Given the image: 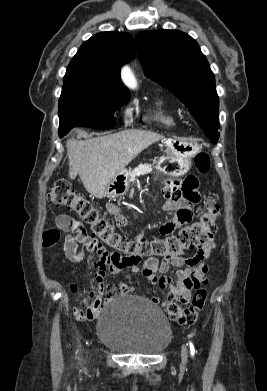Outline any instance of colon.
<instances>
[{
  "instance_id": "5ec220e1",
  "label": "colon",
  "mask_w": 267,
  "mask_h": 391,
  "mask_svg": "<svg viewBox=\"0 0 267 391\" xmlns=\"http://www.w3.org/2000/svg\"><path fill=\"white\" fill-rule=\"evenodd\" d=\"M199 172L210 169L211 158L207 153L195 157ZM49 204L63 207L75 213L91 229L88 235L87 249L99 255L118 254L126 265L138 264L145 259V264L158 263L159 260L176 259L184 252L199 249L217 230V220L221 207L215 198L206 202L205 209L198 219L183 226L178 233L152 240L131 239L118 233L108 219L83 194L73 189L65 180L55 182L48 193ZM59 239L56 230H49L44 235V245L55 244ZM207 300V291L198 289L188 307H180L175 302L166 305L170 319L180 325L189 326L196 322Z\"/></svg>"
}]
</instances>
